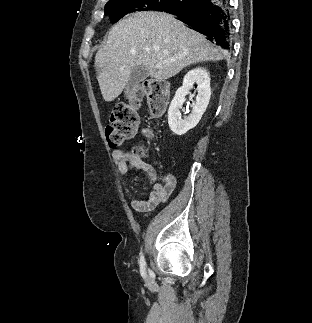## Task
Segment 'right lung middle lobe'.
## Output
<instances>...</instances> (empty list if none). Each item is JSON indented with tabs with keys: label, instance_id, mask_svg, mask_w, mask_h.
Listing matches in <instances>:
<instances>
[{
	"label": "right lung middle lobe",
	"instance_id": "1",
	"mask_svg": "<svg viewBox=\"0 0 312 323\" xmlns=\"http://www.w3.org/2000/svg\"><path fill=\"white\" fill-rule=\"evenodd\" d=\"M185 0H111L105 6V14L117 22L126 14L136 11L163 10L177 7Z\"/></svg>",
	"mask_w": 312,
	"mask_h": 323
}]
</instances>
